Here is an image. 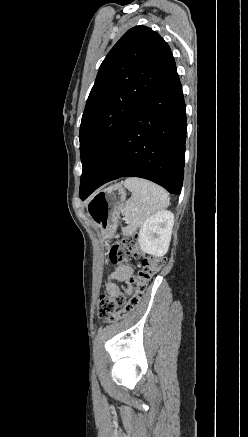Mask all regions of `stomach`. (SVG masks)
Segmentation results:
<instances>
[{
  "instance_id": "stomach-1",
  "label": "stomach",
  "mask_w": 248,
  "mask_h": 437,
  "mask_svg": "<svg viewBox=\"0 0 248 437\" xmlns=\"http://www.w3.org/2000/svg\"><path fill=\"white\" fill-rule=\"evenodd\" d=\"M126 194L121 185H113L95 194L87 203V212L92 221L100 228L104 238H110L117 226V220L123 212Z\"/></svg>"
}]
</instances>
